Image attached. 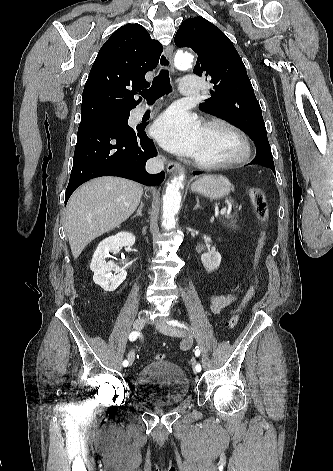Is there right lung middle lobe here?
<instances>
[{
	"label": "right lung middle lobe",
	"instance_id": "obj_1",
	"mask_svg": "<svg viewBox=\"0 0 333 471\" xmlns=\"http://www.w3.org/2000/svg\"><path fill=\"white\" fill-rule=\"evenodd\" d=\"M129 115H130V112L113 113V114L105 115V116L94 118V119L82 120L80 122V125L93 123V122H98V121L107 120V119H115V120H118L119 122L123 123L124 121L127 122V119L129 118Z\"/></svg>",
	"mask_w": 333,
	"mask_h": 471
}]
</instances>
